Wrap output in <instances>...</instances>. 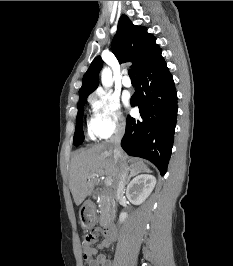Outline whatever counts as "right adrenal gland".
<instances>
[{
    "label": "right adrenal gland",
    "instance_id": "1",
    "mask_svg": "<svg viewBox=\"0 0 233 266\" xmlns=\"http://www.w3.org/2000/svg\"><path fill=\"white\" fill-rule=\"evenodd\" d=\"M135 174L131 173L126 181V185H128L130 179L134 176Z\"/></svg>",
    "mask_w": 233,
    "mask_h": 266
}]
</instances>
